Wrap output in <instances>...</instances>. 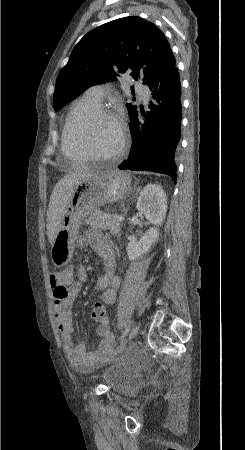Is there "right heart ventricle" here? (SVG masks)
<instances>
[{
  "mask_svg": "<svg viewBox=\"0 0 245 450\" xmlns=\"http://www.w3.org/2000/svg\"><path fill=\"white\" fill-rule=\"evenodd\" d=\"M100 108V104L89 99L85 94L75 100L70 107L64 128L62 131L61 149L62 153L71 160L84 162L89 160L86 153L78 146L74 136V130L79 123Z\"/></svg>",
  "mask_w": 245,
  "mask_h": 450,
  "instance_id": "1",
  "label": "right heart ventricle"
}]
</instances>
